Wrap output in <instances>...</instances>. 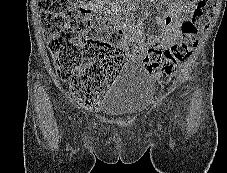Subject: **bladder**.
I'll use <instances>...</instances> for the list:
<instances>
[{
  "label": "bladder",
  "instance_id": "31cf9c89",
  "mask_svg": "<svg viewBox=\"0 0 227 173\" xmlns=\"http://www.w3.org/2000/svg\"><path fill=\"white\" fill-rule=\"evenodd\" d=\"M153 80L139 62L127 63L99 102L98 108L107 114L137 112L150 98Z\"/></svg>",
  "mask_w": 227,
  "mask_h": 173
}]
</instances>
